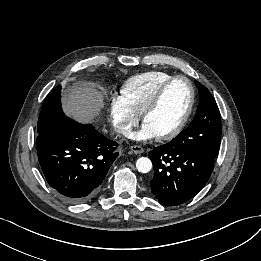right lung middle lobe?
Wrapping results in <instances>:
<instances>
[{
    "instance_id": "1",
    "label": "right lung middle lobe",
    "mask_w": 261,
    "mask_h": 261,
    "mask_svg": "<svg viewBox=\"0 0 261 261\" xmlns=\"http://www.w3.org/2000/svg\"><path fill=\"white\" fill-rule=\"evenodd\" d=\"M60 93L61 86L59 85L45 98L37 124L38 135L46 134L60 122L68 118L62 111Z\"/></svg>"
}]
</instances>
